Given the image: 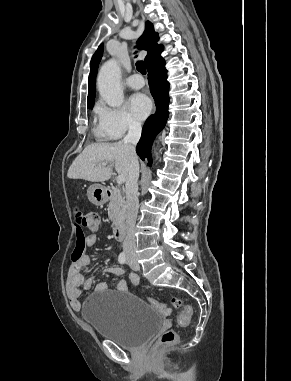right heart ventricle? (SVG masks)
<instances>
[{"instance_id": "right-heart-ventricle-1", "label": "right heart ventricle", "mask_w": 291, "mask_h": 381, "mask_svg": "<svg viewBox=\"0 0 291 381\" xmlns=\"http://www.w3.org/2000/svg\"><path fill=\"white\" fill-rule=\"evenodd\" d=\"M96 130H97V132H98L100 135L104 136L99 126L97 127ZM104 137H105V136H104Z\"/></svg>"}]
</instances>
